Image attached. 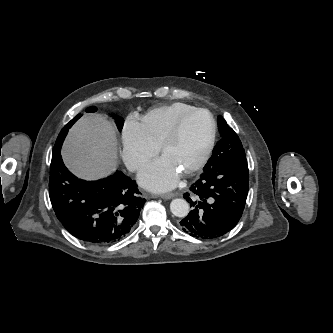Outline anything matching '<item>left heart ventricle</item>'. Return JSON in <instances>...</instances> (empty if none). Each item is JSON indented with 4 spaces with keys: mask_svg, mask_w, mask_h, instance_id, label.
I'll use <instances>...</instances> for the list:
<instances>
[{
    "mask_svg": "<svg viewBox=\"0 0 333 333\" xmlns=\"http://www.w3.org/2000/svg\"><path fill=\"white\" fill-rule=\"evenodd\" d=\"M209 132L210 120L206 113L191 115L184 122L179 137L165 149L163 156L182 173L199 159Z\"/></svg>",
    "mask_w": 333,
    "mask_h": 333,
    "instance_id": "left-heart-ventricle-1",
    "label": "left heart ventricle"
}]
</instances>
